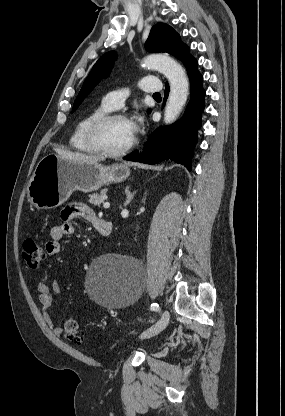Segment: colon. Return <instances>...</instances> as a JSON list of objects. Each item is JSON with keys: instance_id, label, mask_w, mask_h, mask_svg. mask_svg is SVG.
I'll return each instance as SVG.
<instances>
[{"instance_id": "colon-1", "label": "colon", "mask_w": 285, "mask_h": 416, "mask_svg": "<svg viewBox=\"0 0 285 416\" xmlns=\"http://www.w3.org/2000/svg\"><path fill=\"white\" fill-rule=\"evenodd\" d=\"M22 256L27 265L36 269L44 258L42 247L33 239H26L22 245ZM65 337L75 344H82L84 338L80 332L79 324L75 319H67L64 323Z\"/></svg>"}]
</instances>
